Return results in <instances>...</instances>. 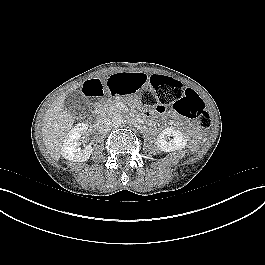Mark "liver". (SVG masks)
<instances>
[{
	"label": "liver",
	"instance_id": "obj_1",
	"mask_svg": "<svg viewBox=\"0 0 265 265\" xmlns=\"http://www.w3.org/2000/svg\"><path fill=\"white\" fill-rule=\"evenodd\" d=\"M76 87L71 88L72 92ZM66 94L55 100L43 117L42 135L45 146L54 160H59L63 139L74 123V117L64 108Z\"/></svg>",
	"mask_w": 265,
	"mask_h": 265
}]
</instances>
